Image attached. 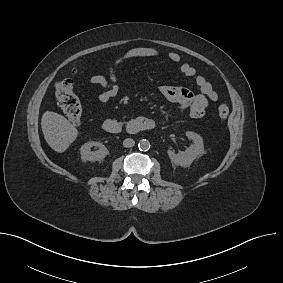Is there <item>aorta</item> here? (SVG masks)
<instances>
[{
    "instance_id": "1",
    "label": "aorta",
    "mask_w": 283,
    "mask_h": 283,
    "mask_svg": "<svg viewBox=\"0 0 283 283\" xmlns=\"http://www.w3.org/2000/svg\"><path fill=\"white\" fill-rule=\"evenodd\" d=\"M150 146V142L147 139H141L138 143V147L141 151H148Z\"/></svg>"
}]
</instances>
